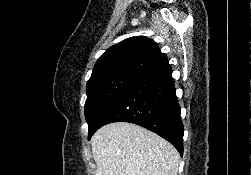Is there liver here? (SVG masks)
I'll use <instances>...</instances> for the list:
<instances>
[{"instance_id":"liver-1","label":"liver","mask_w":251,"mask_h":175,"mask_svg":"<svg viewBox=\"0 0 251 175\" xmlns=\"http://www.w3.org/2000/svg\"><path fill=\"white\" fill-rule=\"evenodd\" d=\"M91 143L96 175H177V149L140 125L108 123L94 133Z\"/></svg>"}]
</instances>
